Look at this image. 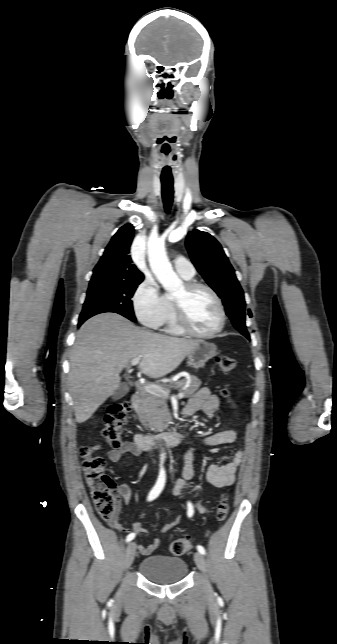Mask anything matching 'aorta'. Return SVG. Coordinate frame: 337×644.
Wrapping results in <instances>:
<instances>
[{
	"mask_svg": "<svg viewBox=\"0 0 337 644\" xmlns=\"http://www.w3.org/2000/svg\"><path fill=\"white\" fill-rule=\"evenodd\" d=\"M147 254L151 270L163 288L169 293L179 291L183 283L169 262L164 241L156 235L150 236L147 244ZM162 456H164V453Z\"/></svg>",
	"mask_w": 337,
	"mask_h": 644,
	"instance_id": "1",
	"label": "aorta"
}]
</instances>
